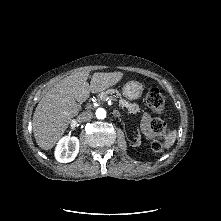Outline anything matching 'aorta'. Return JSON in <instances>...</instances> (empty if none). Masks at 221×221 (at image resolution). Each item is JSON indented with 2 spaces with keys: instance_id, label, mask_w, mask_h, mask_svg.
I'll return each mask as SVG.
<instances>
[{
  "instance_id": "obj_1",
  "label": "aorta",
  "mask_w": 221,
  "mask_h": 221,
  "mask_svg": "<svg viewBox=\"0 0 221 221\" xmlns=\"http://www.w3.org/2000/svg\"><path fill=\"white\" fill-rule=\"evenodd\" d=\"M96 117L98 119H104L106 117V111L103 108H98L96 110Z\"/></svg>"
}]
</instances>
